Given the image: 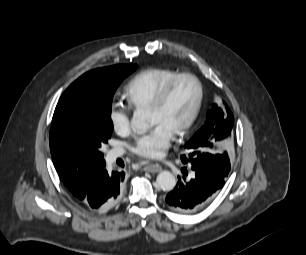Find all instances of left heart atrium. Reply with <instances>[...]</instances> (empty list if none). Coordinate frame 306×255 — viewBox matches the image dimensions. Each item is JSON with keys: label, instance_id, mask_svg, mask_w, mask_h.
I'll return each mask as SVG.
<instances>
[{"label": "left heart atrium", "instance_id": "1", "mask_svg": "<svg viewBox=\"0 0 306 255\" xmlns=\"http://www.w3.org/2000/svg\"><path fill=\"white\" fill-rule=\"evenodd\" d=\"M172 133L162 125H155L148 133L137 138L132 150L143 158L158 159L170 147Z\"/></svg>", "mask_w": 306, "mask_h": 255}]
</instances>
